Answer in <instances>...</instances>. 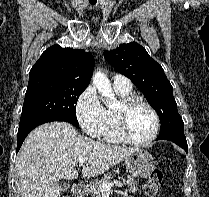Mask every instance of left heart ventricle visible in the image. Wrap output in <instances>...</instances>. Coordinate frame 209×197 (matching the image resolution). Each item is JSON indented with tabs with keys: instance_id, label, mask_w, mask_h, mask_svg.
Wrapping results in <instances>:
<instances>
[{
	"instance_id": "obj_1",
	"label": "left heart ventricle",
	"mask_w": 209,
	"mask_h": 197,
	"mask_svg": "<svg viewBox=\"0 0 209 197\" xmlns=\"http://www.w3.org/2000/svg\"><path fill=\"white\" fill-rule=\"evenodd\" d=\"M128 130L136 140H146L154 128V117L151 111L142 104L134 106L127 115Z\"/></svg>"
}]
</instances>
